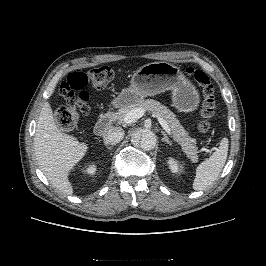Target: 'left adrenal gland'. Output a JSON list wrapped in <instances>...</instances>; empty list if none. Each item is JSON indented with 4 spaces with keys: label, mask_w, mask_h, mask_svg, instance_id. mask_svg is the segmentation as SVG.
Returning <instances> with one entry per match:
<instances>
[{
    "label": "left adrenal gland",
    "mask_w": 266,
    "mask_h": 266,
    "mask_svg": "<svg viewBox=\"0 0 266 266\" xmlns=\"http://www.w3.org/2000/svg\"><path fill=\"white\" fill-rule=\"evenodd\" d=\"M161 133L164 136L162 138V142L167 143L169 146H171L172 145V141L169 139V137L167 136V134L164 131H162Z\"/></svg>",
    "instance_id": "left-adrenal-gland-1"
}]
</instances>
